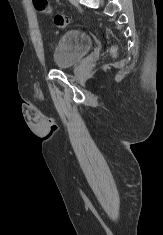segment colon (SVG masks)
Instances as JSON below:
<instances>
[{"mask_svg":"<svg viewBox=\"0 0 163 235\" xmlns=\"http://www.w3.org/2000/svg\"><path fill=\"white\" fill-rule=\"evenodd\" d=\"M32 1H33L34 8L38 12H40L42 14H51L52 13V8H51L48 0H32ZM53 21H54L55 26L58 28H65L70 23V19L63 14H55L53 16ZM115 52H116V47L111 46L110 53L115 54Z\"/></svg>","mask_w":163,"mask_h":235,"instance_id":"colon-1","label":"colon"}]
</instances>
